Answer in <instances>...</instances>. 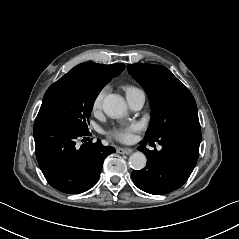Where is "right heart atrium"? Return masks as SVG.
<instances>
[{
	"instance_id": "right-heart-atrium-1",
	"label": "right heart atrium",
	"mask_w": 239,
	"mask_h": 239,
	"mask_svg": "<svg viewBox=\"0 0 239 239\" xmlns=\"http://www.w3.org/2000/svg\"><path fill=\"white\" fill-rule=\"evenodd\" d=\"M106 91H107V88L104 87V88L100 89V90L96 93V95H95V97H94V99H93V102H92V109H93V110H96V109H98V108L101 107L102 102H103V98H104V96H105V94H106Z\"/></svg>"
}]
</instances>
